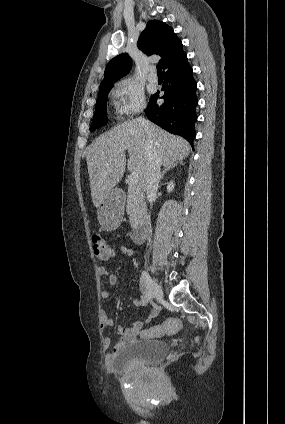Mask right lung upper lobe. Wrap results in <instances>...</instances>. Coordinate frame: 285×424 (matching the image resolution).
I'll list each match as a JSON object with an SVG mask.
<instances>
[{
    "label": "right lung upper lobe",
    "mask_w": 285,
    "mask_h": 424,
    "mask_svg": "<svg viewBox=\"0 0 285 424\" xmlns=\"http://www.w3.org/2000/svg\"><path fill=\"white\" fill-rule=\"evenodd\" d=\"M138 48L147 55L161 56L163 69L166 71L178 65L186 57L182 43L173 30L162 21L151 20L141 33ZM131 68V58L127 53L114 57L106 66L100 88L113 85L126 75Z\"/></svg>",
    "instance_id": "right-lung-upper-lobe-1"
}]
</instances>
